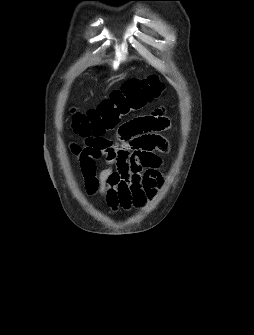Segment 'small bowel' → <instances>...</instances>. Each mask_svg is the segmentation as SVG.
Returning a JSON list of instances; mask_svg holds the SVG:
<instances>
[{"mask_svg": "<svg viewBox=\"0 0 254 335\" xmlns=\"http://www.w3.org/2000/svg\"><path fill=\"white\" fill-rule=\"evenodd\" d=\"M165 114L166 109H154L148 117L118 124L119 139L106 147L72 145L89 195H99L112 210L142 208L155 195L163 179L161 155L170 149L169 140L160 133L170 125ZM101 157L106 166L98 171Z\"/></svg>", "mask_w": 254, "mask_h": 335, "instance_id": "1", "label": "small bowel"}]
</instances>
